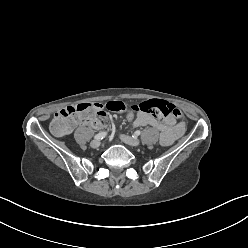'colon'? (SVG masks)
Returning <instances> with one entry per match:
<instances>
[{"label": "colon", "instance_id": "5ec220e1", "mask_svg": "<svg viewBox=\"0 0 248 248\" xmlns=\"http://www.w3.org/2000/svg\"><path fill=\"white\" fill-rule=\"evenodd\" d=\"M107 109L121 112L129 122L134 120L132 110L143 112L153 117L172 115L182 121L184 119L182 112L176 106L161 100H146L130 106L123 102L111 101L107 104ZM81 120L99 127H105L110 123V116L104 111L103 105L99 103H81L68 106L55 114L50 124V130L55 136H63Z\"/></svg>", "mask_w": 248, "mask_h": 248}]
</instances>
